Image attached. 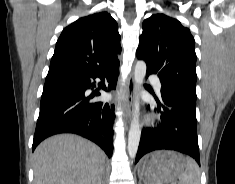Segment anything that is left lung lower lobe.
I'll return each mask as SVG.
<instances>
[{
    "instance_id": "left-lung-lower-lobe-1",
    "label": "left lung lower lobe",
    "mask_w": 235,
    "mask_h": 184,
    "mask_svg": "<svg viewBox=\"0 0 235 184\" xmlns=\"http://www.w3.org/2000/svg\"><path fill=\"white\" fill-rule=\"evenodd\" d=\"M150 74L153 73L147 71V76ZM157 105L161 123L156 128L143 129L135 163L146 153L166 149L187 154L200 165L196 103L162 86L161 99L157 100Z\"/></svg>"
}]
</instances>
